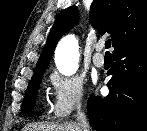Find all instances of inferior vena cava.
<instances>
[{"instance_id":"602c4592","label":"inferior vena cava","mask_w":147,"mask_h":131,"mask_svg":"<svg viewBox=\"0 0 147 131\" xmlns=\"http://www.w3.org/2000/svg\"><path fill=\"white\" fill-rule=\"evenodd\" d=\"M77 122L80 127V131H90L89 123L84 111L81 109V105L77 107Z\"/></svg>"}]
</instances>
